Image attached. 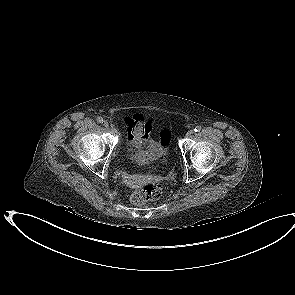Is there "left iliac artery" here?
<instances>
[{
    "label": "left iliac artery",
    "mask_w": 295,
    "mask_h": 295,
    "mask_svg": "<svg viewBox=\"0 0 295 295\" xmlns=\"http://www.w3.org/2000/svg\"><path fill=\"white\" fill-rule=\"evenodd\" d=\"M201 129H202L201 126H196L195 129H194V131H195V132H200Z\"/></svg>",
    "instance_id": "obj_1"
}]
</instances>
